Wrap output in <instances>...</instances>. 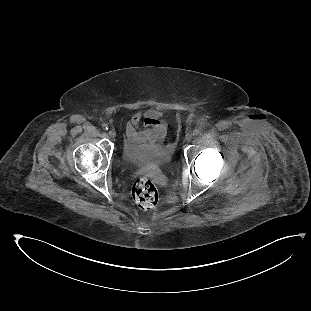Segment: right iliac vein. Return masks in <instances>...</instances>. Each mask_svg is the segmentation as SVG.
Listing matches in <instances>:
<instances>
[{
  "label": "right iliac vein",
  "instance_id": "right-iliac-vein-1",
  "mask_svg": "<svg viewBox=\"0 0 311 311\" xmlns=\"http://www.w3.org/2000/svg\"><path fill=\"white\" fill-rule=\"evenodd\" d=\"M108 135L111 137V138H114L116 136V132L114 130H109L108 131Z\"/></svg>",
  "mask_w": 311,
  "mask_h": 311
}]
</instances>
